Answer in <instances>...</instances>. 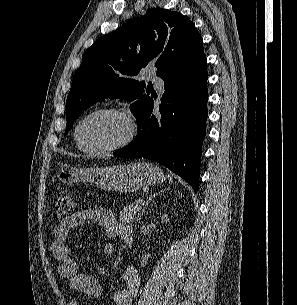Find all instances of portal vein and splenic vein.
<instances>
[{
    "label": "portal vein and splenic vein",
    "mask_w": 297,
    "mask_h": 305,
    "mask_svg": "<svg viewBox=\"0 0 297 305\" xmlns=\"http://www.w3.org/2000/svg\"><path fill=\"white\" fill-rule=\"evenodd\" d=\"M142 203H143V200H139V201L137 202L138 205H141Z\"/></svg>",
    "instance_id": "1"
}]
</instances>
